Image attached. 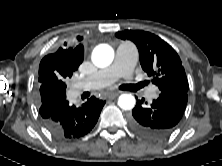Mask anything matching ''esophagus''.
<instances>
[{"label": "esophagus", "instance_id": "esophagus-1", "mask_svg": "<svg viewBox=\"0 0 222 166\" xmlns=\"http://www.w3.org/2000/svg\"><path fill=\"white\" fill-rule=\"evenodd\" d=\"M121 92L120 91H117V92H110L107 94V98L109 99H114L116 98Z\"/></svg>", "mask_w": 222, "mask_h": 166}]
</instances>
